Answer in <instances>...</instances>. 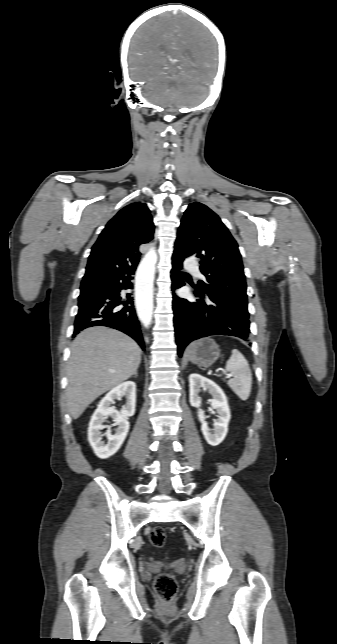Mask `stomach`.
<instances>
[{
	"label": "stomach",
	"instance_id": "stomach-1",
	"mask_svg": "<svg viewBox=\"0 0 337 644\" xmlns=\"http://www.w3.org/2000/svg\"><path fill=\"white\" fill-rule=\"evenodd\" d=\"M220 356V349L211 338L194 342L186 351L185 358L199 367H210Z\"/></svg>",
	"mask_w": 337,
	"mask_h": 644
}]
</instances>
